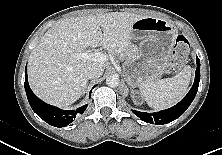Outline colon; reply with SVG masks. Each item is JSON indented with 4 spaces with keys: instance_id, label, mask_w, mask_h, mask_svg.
<instances>
[{
    "instance_id": "5ec220e1",
    "label": "colon",
    "mask_w": 222,
    "mask_h": 155,
    "mask_svg": "<svg viewBox=\"0 0 222 155\" xmlns=\"http://www.w3.org/2000/svg\"><path fill=\"white\" fill-rule=\"evenodd\" d=\"M172 53L173 58L170 62V69L175 71L184 63L189 53V42L184 36L179 35L176 38Z\"/></svg>"
}]
</instances>
